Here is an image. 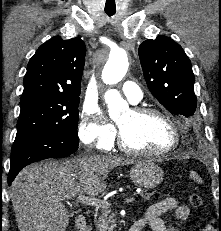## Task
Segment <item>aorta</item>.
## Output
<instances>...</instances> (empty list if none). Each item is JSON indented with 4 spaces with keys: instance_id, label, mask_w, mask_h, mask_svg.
<instances>
[{
    "instance_id": "1",
    "label": "aorta",
    "mask_w": 221,
    "mask_h": 231,
    "mask_svg": "<svg viewBox=\"0 0 221 231\" xmlns=\"http://www.w3.org/2000/svg\"><path fill=\"white\" fill-rule=\"evenodd\" d=\"M128 69V56L124 49L116 48L111 51L109 60L102 71V80L105 84L113 85L120 82L125 76ZM105 102L108 105L109 115L113 116L122 108H127L128 104L121 97L116 89L106 91Z\"/></svg>"
}]
</instances>
